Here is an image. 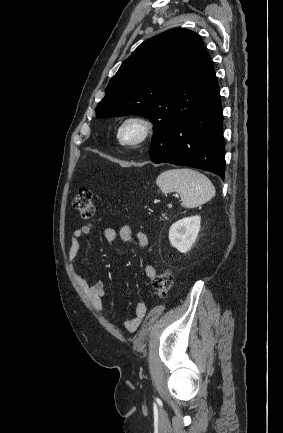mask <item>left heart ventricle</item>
<instances>
[{"label":"left heart ventricle","instance_id":"left-heart-ventricle-1","mask_svg":"<svg viewBox=\"0 0 283 433\" xmlns=\"http://www.w3.org/2000/svg\"><path fill=\"white\" fill-rule=\"evenodd\" d=\"M141 133V127L138 124L132 123L127 126L122 131V138L124 140H131L138 137Z\"/></svg>","mask_w":283,"mask_h":433}]
</instances>
